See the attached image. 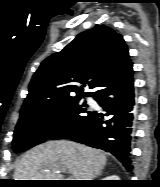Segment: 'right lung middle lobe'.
I'll return each mask as SVG.
<instances>
[{
  "label": "right lung middle lobe",
  "mask_w": 160,
  "mask_h": 187,
  "mask_svg": "<svg viewBox=\"0 0 160 187\" xmlns=\"http://www.w3.org/2000/svg\"><path fill=\"white\" fill-rule=\"evenodd\" d=\"M80 99H71L39 111L21 113L13 137L14 152L28 150L47 138L59 139L72 133L91 113L86 103H81Z\"/></svg>",
  "instance_id": "dd1d6c3e"
}]
</instances>
